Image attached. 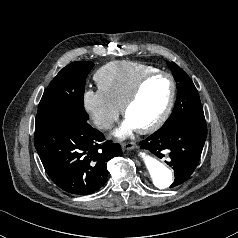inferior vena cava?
<instances>
[{"mask_svg":"<svg viewBox=\"0 0 238 238\" xmlns=\"http://www.w3.org/2000/svg\"><path fill=\"white\" fill-rule=\"evenodd\" d=\"M95 124L100 129H109L113 126V121L108 118H97Z\"/></svg>","mask_w":238,"mask_h":238,"instance_id":"inferior-vena-cava-1","label":"inferior vena cava"}]
</instances>
